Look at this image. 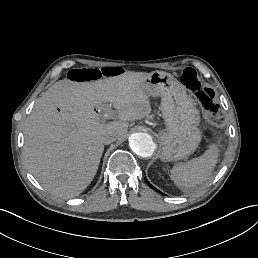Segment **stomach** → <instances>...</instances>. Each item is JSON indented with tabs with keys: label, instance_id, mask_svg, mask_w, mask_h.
Here are the masks:
<instances>
[{
	"label": "stomach",
	"instance_id": "stomach-1",
	"mask_svg": "<svg viewBox=\"0 0 258 258\" xmlns=\"http://www.w3.org/2000/svg\"><path fill=\"white\" fill-rule=\"evenodd\" d=\"M143 91L161 97V110L166 128L160 132L159 157L175 161L194 153L201 141L199 111L185 87L169 73L154 71L142 81Z\"/></svg>",
	"mask_w": 258,
	"mask_h": 258
}]
</instances>
